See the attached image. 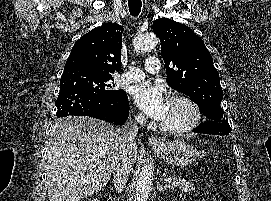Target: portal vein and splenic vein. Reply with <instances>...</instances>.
<instances>
[{"instance_id":"1","label":"portal vein and splenic vein","mask_w":271,"mask_h":201,"mask_svg":"<svg viewBox=\"0 0 271 201\" xmlns=\"http://www.w3.org/2000/svg\"><path fill=\"white\" fill-rule=\"evenodd\" d=\"M165 181L169 183L172 181V178H166Z\"/></svg>"}]
</instances>
